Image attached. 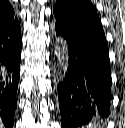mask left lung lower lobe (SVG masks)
Instances as JSON below:
<instances>
[{"label":"left lung lower lobe","mask_w":125,"mask_h":128,"mask_svg":"<svg viewBox=\"0 0 125 128\" xmlns=\"http://www.w3.org/2000/svg\"><path fill=\"white\" fill-rule=\"evenodd\" d=\"M55 29L68 45V68L58 88L62 128L103 122L112 98L106 39L58 23Z\"/></svg>","instance_id":"0a47b994"}]
</instances>
